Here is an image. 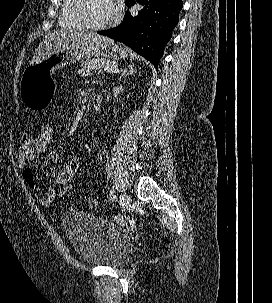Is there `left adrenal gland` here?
Listing matches in <instances>:
<instances>
[{
    "label": "left adrenal gland",
    "mask_w": 272,
    "mask_h": 303,
    "mask_svg": "<svg viewBox=\"0 0 272 303\" xmlns=\"http://www.w3.org/2000/svg\"><path fill=\"white\" fill-rule=\"evenodd\" d=\"M136 73V70L133 69V67H130L129 70L124 69L122 75L118 78V80H121L122 77H127L128 75H132Z\"/></svg>",
    "instance_id": "left-adrenal-gland-1"
}]
</instances>
